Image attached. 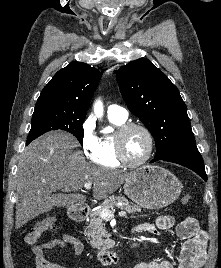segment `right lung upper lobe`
<instances>
[{"mask_svg":"<svg viewBox=\"0 0 221 268\" xmlns=\"http://www.w3.org/2000/svg\"><path fill=\"white\" fill-rule=\"evenodd\" d=\"M102 72L82 62L59 70L42 90L35 111L62 110L86 115Z\"/></svg>","mask_w":221,"mask_h":268,"instance_id":"obj_1","label":"right lung upper lobe"}]
</instances>
